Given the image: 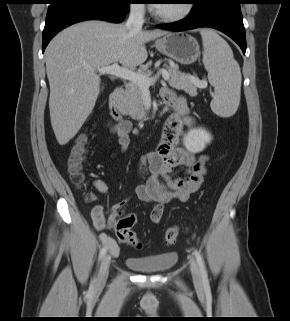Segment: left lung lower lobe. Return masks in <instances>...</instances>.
I'll use <instances>...</instances> for the list:
<instances>
[{
    "label": "left lung lower lobe",
    "instance_id": "obj_1",
    "mask_svg": "<svg viewBox=\"0 0 290 321\" xmlns=\"http://www.w3.org/2000/svg\"><path fill=\"white\" fill-rule=\"evenodd\" d=\"M240 4L242 0H206L194 6L187 18L157 27L170 31H185L200 27L214 28L233 39L245 54L246 37Z\"/></svg>",
    "mask_w": 290,
    "mask_h": 321
}]
</instances>
